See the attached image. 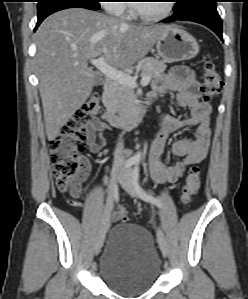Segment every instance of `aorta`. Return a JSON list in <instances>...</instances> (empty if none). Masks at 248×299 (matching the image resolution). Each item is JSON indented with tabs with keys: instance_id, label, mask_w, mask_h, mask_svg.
<instances>
[{
	"instance_id": "1",
	"label": "aorta",
	"mask_w": 248,
	"mask_h": 299,
	"mask_svg": "<svg viewBox=\"0 0 248 299\" xmlns=\"http://www.w3.org/2000/svg\"><path fill=\"white\" fill-rule=\"evenodd\" d=\"M133 159H134L135 161H137V162H140V161H141V152H140V151L137 152V153L134 155Z\"/></svg>"
}]
</instances>
